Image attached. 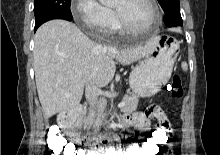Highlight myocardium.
Returning a JSON list of instances; mask_svg holds the SVG:
<instances>
[{"label":"myocardium","mask_w":220,"mask_h":155,"mask_svg":"<svg viewBox=\"0 0 220 155\" xmlns=\"http://www.w3.org/2000/svg\"><path fill=\"white\" fill-rule=\"evenodd\" d=\"M145 1L150 7L151 19H150V22L143 28L131 27L124 20V18L121 16V14L116 9H114L118 23L123 31H125L127 33H133V34H142V33H146L148 31L152 30L158 24L159 13H158V7L156 4V0H145Z\"/></svg>","instance_id":"myocardium-1"}]
</instances>
